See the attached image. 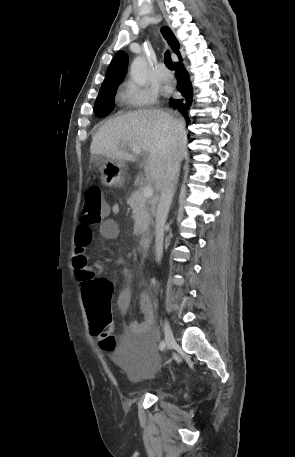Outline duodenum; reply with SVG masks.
Returning a JSON list of instances; mask_svg holds the SVG:
<instances>
[{
    "instance_id": "duodenum-1",
    "label": "duodenum",
    "mask_w": 295,
    "mask_h": 457,
    "mask_svg": "<svg viewBox=\"0 0 295 457\" xmlns=\"http://www.w3.org/2000/svg\"><path fill=\"white\" fill-rule=\"evenodd\" d=\"M151 244V237L148 235H144L140 239V248L143 254H146L149 250Z\"/></svg>"
}]
</instances>
